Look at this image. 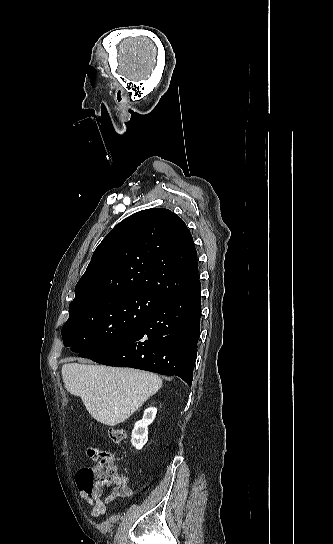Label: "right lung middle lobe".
<instances>
[{
	"instance_id": "1",
	"label": "right lung middle lobe",
	"mask_w": 333,
	"mask_h": 544,
	"mask_svg": "<svg viewBox=\"0 0 333 544\" xmlns=\"http://www.w3.org/2000/svg\"><path fill=\"white\" fill-rule=\"evenodd\" d=\"M165 299L148 293L101 295L69 306L61 334L65 346L83 357L97 346L134 330Z\"/></svg>"
}]
</instances>
